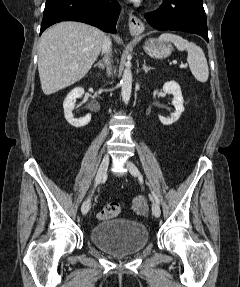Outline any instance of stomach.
I'll return each instance as SVG.
<instances>
[{"mask_svg":"<svg viewBox=\"0 0 240 287\" xmlns=\"http://www.w3.org/2000/svg\"><path fill=\"white\" fill-rule=\"evenodd\" d=\"M172 49L173 47L169 42L160 41L159 39H149L144 45L145 52L149 56L157 59L168 57Z\"/></svg>","mask_w":240,"mask_h":287,"instance_id":"1","label":"stomach"}]
</instances>
